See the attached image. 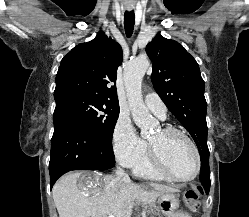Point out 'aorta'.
Instances as JSON below:
<instances>
[{"label":"aorta","instance_id":"762f6f07","mask_svg":"<svg viewBox=\"0 0 249 217\" xmlns=\"http://www.w3.org/2000/svg\"><path fill=\"white\" fill-rule=\"evenodd\" d=\"M149 65L147 58L140 57L130 61L124 70V80L132 118L143 133H147L156 124L143 103L141 91L142 79Z\"/></svg>","mask_w":249,"mask_h":217}]
</instances>
